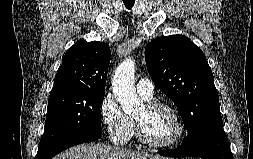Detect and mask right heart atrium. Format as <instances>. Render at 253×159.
<instances>
[{
    "label": "right heart atrium",
    "instance_id": "obj_1",
    "mask_svg": "<svg viewBox=\"0 0 253 159\" xmlns=\"http://www.w3.org/2000/svg\"><path fill=\"white\" fill-rule=\"evenodd\" d=\"M99 114L103 129L112 142L119 145L129 143L134 131L133 120L122 110L113 95L103 97Z\"/></svg>",
    "mask_w": 253,
    "mask_h": 159
}]
</instances>
